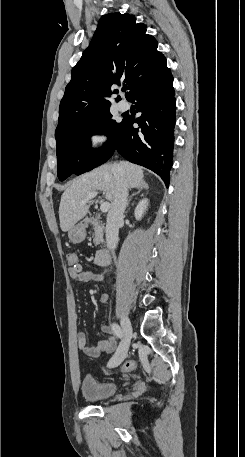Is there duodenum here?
<instances>
[{
	"label": "duodenum",
	"instance_id": "obj_1",
	"mask_svg": "<svg viewBox=\"0 0 245 457\" xmlns=\"http://www.w3.org/2000/svg\"><path fill=\"white\" fill-rule=\"evenodd\" d=\"M112 262V254L107 250H100L95 255V263L99 266H105Z\"/></svg>",
	"mask_w": 245,
	"mask_h": 457
}]
</instances>
